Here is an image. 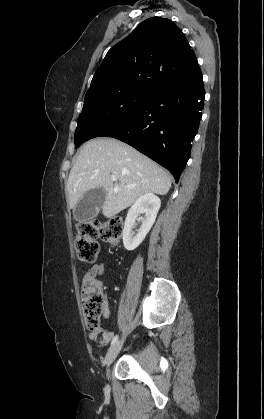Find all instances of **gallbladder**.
<instances>
[{
    "label": "gallbladder",
    "mask_w": 264,
    "mask_h": 419,
    "mask_svg": "<svg viewBox=\"0 0 264 419\" xmlns=\"http://www.w3.org/2000/svg\"><path fill=\"white\" fill-rule=\"evenodd\" d=\"M105 198L106 191L103 188H95L85 192L74 208V218L79 222L92 220L102 208Z\"/></svg>",
    "instance_id": "1"
}]
</instances>
